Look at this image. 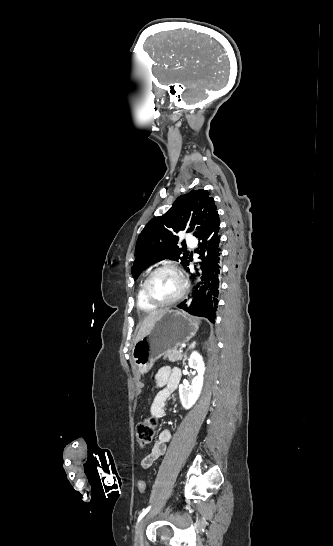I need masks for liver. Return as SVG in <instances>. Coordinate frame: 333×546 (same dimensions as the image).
<instances>
[{"label":"liver","mask_w":333,"mask_h":546,"mask_svg":"<svg viewBox=\"0 0 333 546\" xmlns=\"http://www.w3.org/2000/svg\"><path fill=\"white\" fill-rule=\"evenodd\" d=\"M167 311L168 309H161L149 313L140 325L137 337L135 339V343L143 338L153 327L154 323L159 320Z\"/></svg>","instance_id":"obj_1"}]
</instances>
